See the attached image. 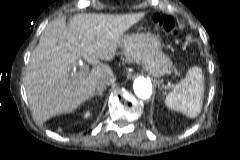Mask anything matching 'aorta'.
Instances as JSON below:
<instances>
[{
    "instance_id": "obj_1",
    "label": "aorta",
    "mask_w": 240,
    "mask_h": 160,
    "mask_svg": "<svg viewBox=\"0 0 240 160\" xmlns=\"http://www.w3.org/2000/svg\"><path fill=\"white\" fill-rule=\"evenodd\" d=\"M133 88L136 96L142 100H148L152 94V84L144 77L134 80Z\"/></svg>"
}]
</instances>
